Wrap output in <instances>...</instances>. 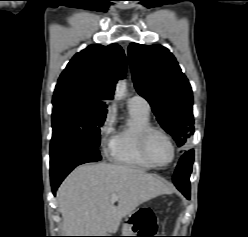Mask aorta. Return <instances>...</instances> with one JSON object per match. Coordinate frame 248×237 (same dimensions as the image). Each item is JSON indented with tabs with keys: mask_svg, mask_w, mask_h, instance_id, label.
Segmentation results:
<instances>
[{
	"mask_svg": "<svg viewBox=\"0 0 248 237\" xmlns=\"http://www.w3.org/2000/svg\"><path fill=\"white\" fill-rule=\"evenodd\" d=\"M126 86L127 85L125 80L118 81V83L116 84L115 95H114V98L116 100H121L123 98L126 92Z\"/></svg>",
	"mask_w": 248,
	"mask_h": 237,
	"instance_id": "obj_1",
	"label": "aorta"
}]
</instances>
